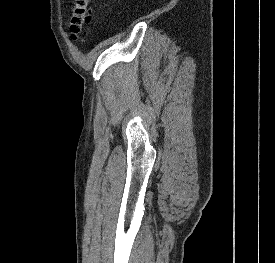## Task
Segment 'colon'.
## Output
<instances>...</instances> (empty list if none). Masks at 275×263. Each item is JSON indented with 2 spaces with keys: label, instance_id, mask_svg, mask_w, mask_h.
I'll return each mask as SVG.
<instances>
[{
  "label": "colon",
  "instance_id": "5ec220e1",
  "mask_svg": "<svg viewBox=\"0 0 275 263\" xmlns=\"http://www.w3.org/2000/svg\"><path fill=\"white\" fill-rule=\"evenodd\" d=\"M92 0H73L68 22L70 37L78 40L86 35L87 27L92 22Z\"/></svg>",
  "mask_w": 275,
  "mask_h": 263
}]
</instances>
